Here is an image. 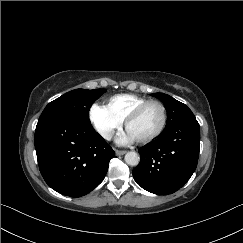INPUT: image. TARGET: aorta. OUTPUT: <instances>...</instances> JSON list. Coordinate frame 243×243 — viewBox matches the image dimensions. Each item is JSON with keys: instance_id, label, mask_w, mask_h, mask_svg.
<instances>
[{"instance_id": "1", "label": "aorta", "mask_w": 243, "mask_h": 243, "mask_svg": "<svg viewBox=\"0 0 243 243\" xmlns=\"http://www.w3.org/2000/svg\"><path fill=\"white\" fill-rule=\"evenodd\" d=\"M124 159L130 166H137L140 161L139 155L134 151L127 152Z\"/></svg>"}]
</instances>
